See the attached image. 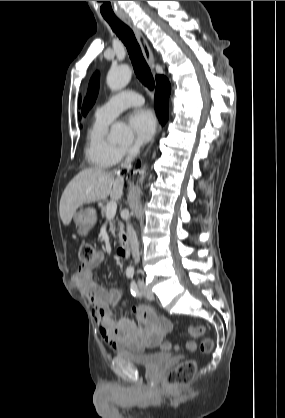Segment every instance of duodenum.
Here are the masks:
<instances>
[{
  "mask_svg": "<svg viewBox=\"0 0 285 418\" xmlns=\"http://www.w3.org/2000/svg\"><path fill=\"white\" fill-rule=\"evenodd\" d=\"M130 244L128 242H124L118 247V255L122 258H128L130 256Z\"/></svg>",
  "mask_w": 285,
  "mask_h": 418,
  "instance_id": "obj_1",
  "label": "duodenum"
}]
</instances>
